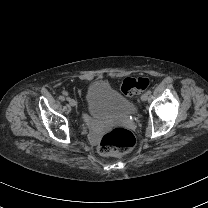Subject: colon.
<instances>
[{
    "mask_svg": "<svg viewBox=\"0 0 208 208\" xmlns=\"http://www.w3.org/2000/svg\"><path fill=\"white\" fill-rule=\"evenodd\" d=\"M150 81L146 77H128L119 85L120 92L130 96L148 88ZM139 142L138 135L126 127L114 126L99 141L98 150L101 155L110 157L124 155Z\"/></svg>",
    "mask_w": 208,
    "mask_h": 208,
    "instance_id": "5ec220e1",
    "label": "colon"
}]
</instances>
